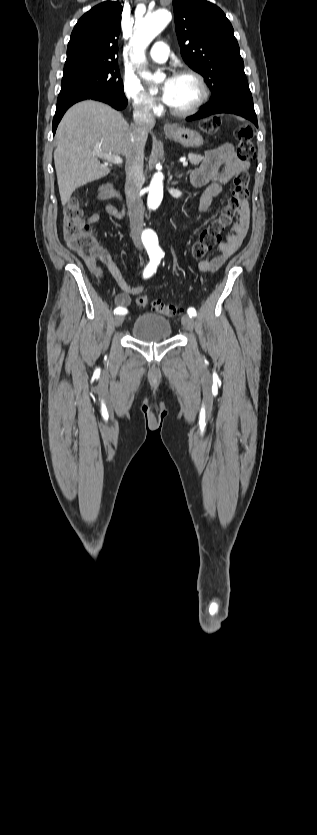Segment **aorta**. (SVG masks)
Returning <instances> with one entry per match:
<instances>
[{
    "label": "aorta",
    "instance_id": "aorta-1",
    "mask_svg": "<svg viewBox=\"0 0 317 835\" xmlns=\"http://www.w3.org/2000/svg\"><path fill=\"white\" fill-rule=\"evenodd\" d=\"M172 19V13L166 8H160L142 17L134 28L130 39L133 48L131 60L140 65L146 62L145 51L153 39L162 31ZM140 76L146 81L160 82L165 78L164 74H152L149 71H140ZM163 199V178L160 173L152 177L147 205L150 209H156ZM147 239L157 246V236L152 229L146 230Z\"/></svg>",
    "mask_w": 317,
    "mask_h": 835
}]
</instances>
